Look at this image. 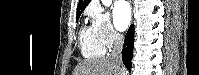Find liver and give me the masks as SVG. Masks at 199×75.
<instances>
[{"instance_id":"1","label":"liver","mask_w":199,"mask_h":75,"mask_svg":"<svg viewBox=\"0 0 199 75\" xmlns=\"http://www.w3.org/2000/svg\"><path fill=\"white\" fill-rule=\"evenodd\" d=\"M119 73V65L110 56L95 60H84L78 64L74 75H121Z\"/></svg>"}]
</instances>
